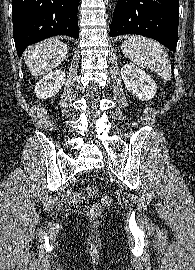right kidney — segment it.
<instances>
[{"label":"right kidney","instance_id":"right-kidney-1","mask_svg":"<svg viewBox=\"0 0 195 270\" xmlns=\"http://www.w3.org/2000/svg\"><path fill=\"white\" fill-rule=\"evenodd\" d=\"M65 72L55 70L45 75L35 86V94L40 99L54 96L65 81Z\"/></svg>","mask_w":195,"mask_h":270}]
</instances>
